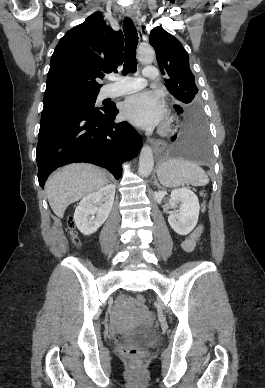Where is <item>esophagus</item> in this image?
Segmentation results:
<instances>
[{
    "label": "esophagus",
    "instance_id": "1",
    "mask_svg": "<svg viewBox=\"0 0 265 388\" xmlns=\"http://www.w3.org/2000/svg\"><path fill=\"white\" fill-rule=\"evenodd\" d=\"M126 15L127 17H130L131 19L135 20L136 19V12L135 10H130V9H127L126 10ZM150 144L153 148V151L156 155L162 153V151L164 150L165 148V144L163 142H161L160 140H150Z\"/></svg>",
    "mask_w": 265,
    "mask_h": 388
}]
</instances>
